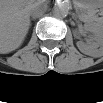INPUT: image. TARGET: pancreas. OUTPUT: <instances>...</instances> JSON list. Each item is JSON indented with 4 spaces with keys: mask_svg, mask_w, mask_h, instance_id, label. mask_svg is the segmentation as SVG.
I'll return each instance as SVG.
<instances>
[{
    "mask_svg": "<svg viewBox=\"0 0 103 103\" xmlns=\"http://www.w3.org/2000/svg\"><path fill=\"white\" fill-rule=\"evenodd\" d=\"M78 17L83 22H88L89 21V17L83 11L78 12Z\"/></svg>",
    "mask_w": 103,
    "mask_h": 103,
    "instance_id": "obj_1",
    "label": "pancreas"
}]
</instances>
